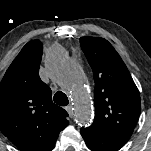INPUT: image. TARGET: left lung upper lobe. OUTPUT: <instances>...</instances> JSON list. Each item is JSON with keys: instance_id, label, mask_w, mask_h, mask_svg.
Here are the masks:
<instances>
[{"instance_id": "left-lung-upper-lobe-1", "label": "left lung upper lobe", "mask_w": 151, "mask_h": 151, "mask_svg": "<svg viewBox=\"0 0 151 151\" xmlns=\"http://www.w3.org/2000/svg\"><path fill=\"white\" fill-rule=\"evenodd\" d=\"M80 44L95 82L94 122L81 132L129 139L139 119L141 99L126 65L104 38L81 37Z\"/></svg>"}]
</instances>
